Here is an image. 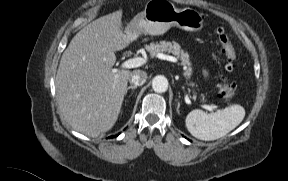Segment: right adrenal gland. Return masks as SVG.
<instances>
[{"mask_svg": "<svg viewBox=\"0 0 288 181\" xmlns=\"http://www.w3.org/2000/svg\"><path fill=\"white\" fill-rule=\"evenodd\" d=\"M136 88H137V86H135V85H131V86L127 87V88H126V91H125V94H127V91H128L129 89L135 90Z\"/></svg>", "mask_w": 288, "mask_h": 181, "instance_id": "obj_1", "label": "right adrenal gland"}]
</instances>
